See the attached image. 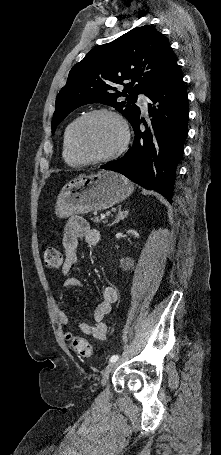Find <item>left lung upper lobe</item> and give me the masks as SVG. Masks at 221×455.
Returning a JSON list of instances; mask_svg holds the SVG:
<instances>
[{
  "label": "left lung upper lobe",
  "mask_w": 221,
  "mask_h": 455,
  "mask_svg": "<svg viewBox=\"0 0 221 455\" xmlns=\"http://www.w3.org/2000/svg\"><path fill=\"white\" fill-rule=\"evenodd\" d=\"M176 62L166 38L148 25L93 48L73 66L56 98L52 132L70 112L89 103L110 105L132 124L140 114L137 95H147ZM121 96L126 101L120 102Z\"/></svg>",
  "instance_id": "obj_1"
}]
</instances>
